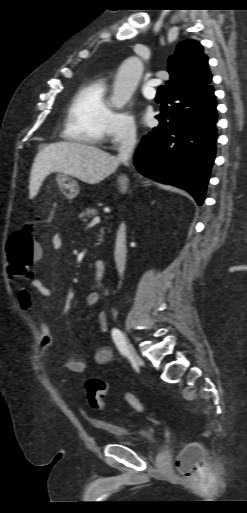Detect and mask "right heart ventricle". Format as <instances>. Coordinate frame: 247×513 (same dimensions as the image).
<instances>
[{"mask_svg": "<svg viewBox=\"0 0 247 513\" xmlns=\"http://www.w3.org/2000/svg\"><path fill=\"white\" fill-rule=\"evenodd\" d=\"M111 114L106 81H85L70 100L62 137L71 142L100 145L106 137Z\"/></svg>", "mask_w": 247, "mask_h": 513, "instance_id": "right-heart-ventricle-1", "label": "right heart ventricle"}]
</instances>
